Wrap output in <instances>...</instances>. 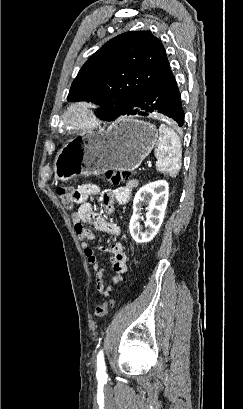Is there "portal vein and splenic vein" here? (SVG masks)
Listing matches in <instances>:
<instances>
[{"label":"portal vein and splenic vein","mask_w":243,"mask_h":409,"mask_svg":"<svg viewBox=\"0 0 243 409\" xmlns=\"http://www.w3.org/2000/svg\"><path fill=\"white\" fill-rule=\"evenodd\" d=\"M148 166L151 167V163H149Z\"/></svg>","instance_id":"1"}]
</instances>
